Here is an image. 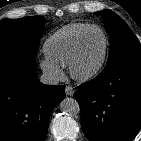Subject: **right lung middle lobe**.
Wrapping results in <instances>:
<instances>
[{
	"mask_svg": "<svg viewBox=\"0 0 141 141\" xmlns=\"http://www.w3.org/2000/svg\"><path fill=\"white\" fill-rule=\"evenodd\" d=\"M47 20L41 16L0 21V56L26 51L34 55Z\"/></svg>",
	"mask_w": 141,
	"mask_h": 141,
	"instance_id": "dd1d6c3e",
	"label": "right lung middle lobe"
}]
</instances>
